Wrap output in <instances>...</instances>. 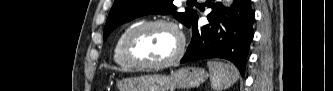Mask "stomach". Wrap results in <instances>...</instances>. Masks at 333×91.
<instances>
[{
  "instance_id": "0dacf381",
  "label": "stomach",
  "mask_w": 333,
  "mask_h": 91,
  "mask_svg": "<svg viewBox=\"0 0 333 91\" xmlns=\"http://www.w3.org/2000/svg\"><path fill=\"white\" fill-rule=\"evenodd\" d=\"M208 73L202 68L184 67L168 76L153 74L123 78L117 82L119 91H174L203 83Z\"/></svg>"
}]
</instances>
